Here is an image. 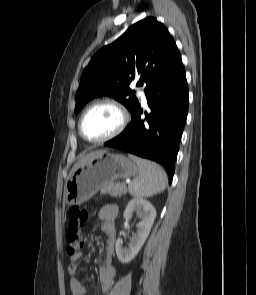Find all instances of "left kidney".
<instances>
[{"instance_id":"5707ae66","label":"left kidney","mask_w":256,"mask_h":295,"mask_svg":"<svg viewBox=\"0 0 256 295\" xmlns=\"http://www.w3.org/2000/svg\"><path fill=\"white\" fill-rule=\"evenodd\" d=\"M134 212L139 213L142 219L136 225L137 232L130 240L129 247L124 248L123 241L120 238L116 241V254L118 260L123 264L129 263L138 254L150 233L156 217V210L153 205L142 198H133L130 200L123 214L125 220L128 221L131 219Z\"/></svg>"}]
</instances>
